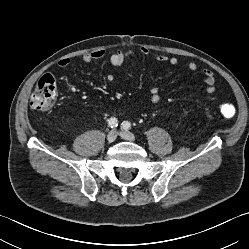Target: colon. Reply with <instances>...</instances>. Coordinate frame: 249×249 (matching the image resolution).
<instances>
[{
  "label": "colon",
  "mask_w": 249,
  "mask_h": 249,
  "mask_svg": "<svg viewBox=\"0 0 249 249\" xmlns=\"http://www.w3.org/2000/svg\"><path fill=\"white\" fill-rule=\"evenodd\" d=\"M56 100V81L50 74H44L37 82L31 104L38 111H51L55 106ZM220 112L223 117L231 118L235 109L231 104L224 103L220 106Z\"/></svg>",
  "instance_id": "colon-1"
}]
</instances>
